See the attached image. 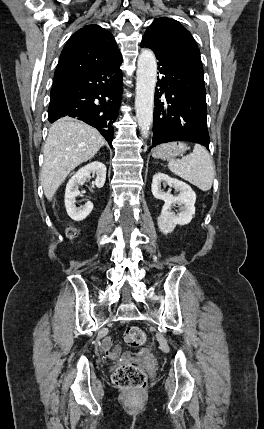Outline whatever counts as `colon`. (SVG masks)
I'll return each mask as SVG.
<instances>
[{
  "label": "colon",
  "mask_w": 264,
  "mask_h": 429,
  "mask_svg": "<svg viewBox=\"0 0 264 429\" xmlns=\"http://www.w3.org/2000/svg\"><path fill=\"white\" fill-rule=\"evenodd\" d=\"M70 238L75 237L76 230L73 227L67 229ZM125 342L131 347H139L146 342V334L139 327H129L124 333ZM114 384L129 393H139L146 385V374L137 362H129L119 365L113 375Z\"/></svg>",
  "instance_id": "5ec220e1"
}]
</instances>
